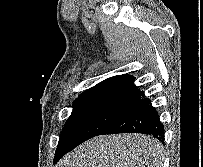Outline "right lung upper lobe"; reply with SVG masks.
<instances>
[{
    "label": "right lung upper lobe",
    "instance_id": "1",
    "mask_svg": "<svg viewBox=\"0 0 203 167\" xmlns=\"http://www.w3.org/2000/svg\"><path fill=\"white\" fill-rule=\"evenodd\" d=\"M134 79L128 74L110 77L81 93L75 101H104L132 107L145 96L134 85Z\"/></svg>",
    "mask_w": 203,
    "mask_h": 167
}]
</instances>
